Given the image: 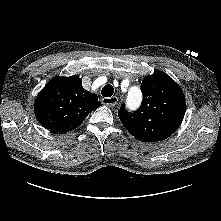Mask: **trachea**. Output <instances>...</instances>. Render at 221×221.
Listing matches in <instances>:
<instances>
[{
  "instance_id": "3493384b",
  "label": "trachea",
  "mask_w": 221,
  "mask_h": 221,
  "mask_svg": "<svg viewBox=\"0 0 221 221\" xmlns=\"http://www.w3.org/2000/svg\"><path fill=\"white\" fill-rule=\"evenodd\" d=\"M114 93V88L112 85H105L102 90H101V94L104 97H111Z\"/></svg>"
}]
</instances>
